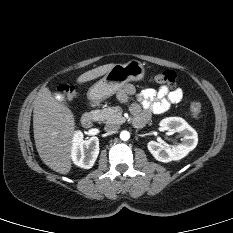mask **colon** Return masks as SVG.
Here are the masks:
<instances>
[{"label": "colon", "mask_w": 233, "mask_h": 233, "mask_svg": "<svg viewBox=\"0 0 233 233\" xmlns=\"http://www.w3.org/2000/svg\"><path fill=\"white\" fill-rule=\"evenodd\" d=\"M176 73L172 70H165L161 73H158L154 75L151 78V81L153 83L166 86L168 88H173L176 86ZM60 91L69 99H72L75 97V90L68 85H62L60 87ZM202 110V105L198 101H194L190 105V114L193 118H198Z\"/></svg>", "instance_id": "1"}]
</instances>
